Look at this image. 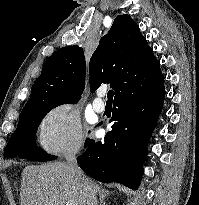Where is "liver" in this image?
I'll use <instances>...</instances> for the list:
<instances>
[{
	"mask_svg": "<svg viewBox=\"0 0 199 205\" xmlns=\"http://www.w3.org/2000/svg\"><path fill=\"white\" fill-rule=\"evenodd\" d=\"M83 174V173H82ZM98 184L78 178L65 162L27 166L21 176V205H97Z\"/></svg>",
	"mask_w": 199,
	"mask_h": 205,
	"instance_id": "1",
	"label": "liver"
}]
</instances>
